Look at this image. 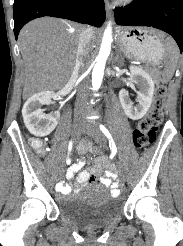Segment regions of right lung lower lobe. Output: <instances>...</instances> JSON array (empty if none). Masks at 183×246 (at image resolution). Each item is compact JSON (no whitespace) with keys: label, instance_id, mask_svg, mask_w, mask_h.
<instances>
[{"label":"right lung lower lobe","instance_id":"right-lung-lower-lobe-1","mask_svg":"<svg viewBox=\"0 0 183 246\" xmlns=\"http://www.w3.org/2000/svg\"><path fill=\"white\" fill-rule=\"evenodd\" d=\"M51 16L100 27L105 20L104 0H14V33L29 21Z\"/></svg>","mask_w":183,"mask_h":246}]
</instances>
